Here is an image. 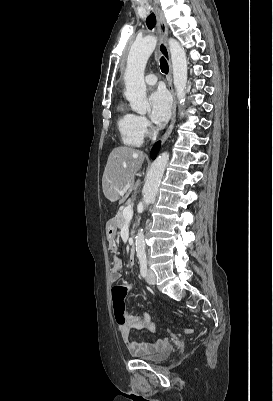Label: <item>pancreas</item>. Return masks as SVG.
I'll use <instances>...</instances> for the list:
<instances>
[{
	"label": "pancreas",
	"instance_id": "cf45deb5",
	"mask_svg": "<svg viewBox=\"0 0 273 401\" xmlns=\"http://www.w3.org/2000/svg\"><path fill=\"white\" fill-rule=\"evenodd\" d=\"M116 227H118V229H123L124 225H126V221L127 219H124L123 217V211H119V213H117L116 217Z\"/></svg>",
	"mask_w": 273,
	"mask_h": 401
}]
</instances>
